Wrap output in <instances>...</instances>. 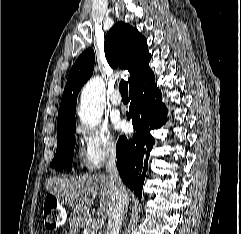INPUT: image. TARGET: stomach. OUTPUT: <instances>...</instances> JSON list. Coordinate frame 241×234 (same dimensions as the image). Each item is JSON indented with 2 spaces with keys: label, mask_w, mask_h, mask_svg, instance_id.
I'll list each match as a JSON object with an SVG mask.
<instances>
[{
  "label": "stomach",
  "mask_w": 241,
  "mask_h": 234,
  "mask_svg": "<svg viewBox=\"0 0 241 234\" xmlns=\"http://www.w3.org/2000/svg\"><path fill=\"white\" fill-rule=\"evenodd\" d=\"M82 219L83 218H82V216L80 214H74L72 216V221H74V222L81 221Z\"/></svg>",
  "instance_id": "1"
}]
</instances>
